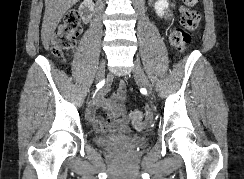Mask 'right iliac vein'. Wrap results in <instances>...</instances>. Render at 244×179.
<instances>
[{
	"label": "right iliac vein",
	"mask_w": 244,
	"mask_h": 179,
	"mask_svg": "<svg viewBox=\"0 0 244 179\" xmlns=\"http://www.w3.org/2000/svg\"><path fill=\"white\" fill-rule=\"evenodd\" d=\"M104 75H105V64L102 63V64L100 65V68H99V71H98V74H97V80L103 78Z\"/></svg>",
	"instance_id": "obj_1"
}]
</instances>
